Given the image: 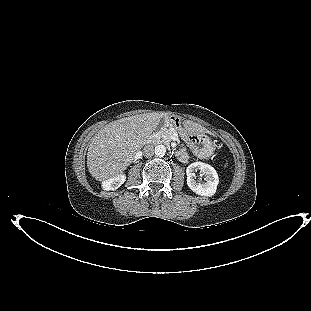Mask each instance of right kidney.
<instances>
[{
  "mask_svg": "<svg viewBox=\"0 0 311 311\" xmlns=\"http://www.w3.org/2000/svg\"><path fill=\"white\" fill-rule=\"evenodd\" d=\"M126 177L124 175L116 176L112 179L103 182V188L105 190H116L118 189L124 182Z\"/></svg>",
  "mask_w": 311,
  "mask_h": 311,
  "instance_id": "ca27d5eb",
  "label": "right kidney"
}]
</instances>
